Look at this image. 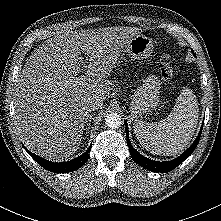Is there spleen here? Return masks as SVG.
I'll return each instance as SVG.
<instances>
[{"mask_svg": "<svg viewBox=\"0 0 221 221\" xmlns=\"http://www.w3.org/2000/svg\"><path fill=\"white\" fill-rule=\"evenodd\" d=\"M198 102L189 88H183L167 118L155 123L134 122L139 143L157 155H177L190 142L198 120Z\"/></svg>", "mask_w": 221, "mask_h": 221, "instance_id": "1", "label": "spleen"}]
</instances>
